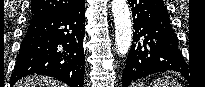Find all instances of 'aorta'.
Listing matches in <instances>:
<instances>
[{
    "label": "aorta",
    "mask_w": 205,
    "mask_h": 87,
    "mask_svg": "<svg viewBox=\"0 0 205 87\" xmlns=\"http://www.w3.org/2000/svg\"><path fill=\"white\" fill-rule=\"evenodd\" d=\"M115 41L118 53L126 55L132 44V22L126 0H112Z\"/></svg>",
    "instance_id": "762f6f07"
}]
</instances>
